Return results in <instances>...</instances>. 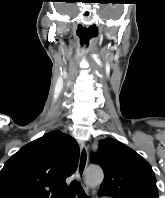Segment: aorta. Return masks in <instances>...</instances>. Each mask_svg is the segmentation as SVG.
<instances>
[{"label": "aorta", "instance_id": "obj_1", "mask_svg": "<svg viewBox=\"0 0 165 198\" xmlns=\"http://www.w3.org/2000/svg\"><path fill=\"white\" fill-rule=\"evenodd\" d=\"M104 179L103 170L99 166H90L85 175V182L91 188H97Z\"/></svg>", "mask_w": 165, "mask_h": 198}]
</instances>
